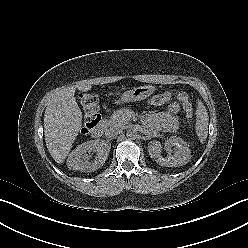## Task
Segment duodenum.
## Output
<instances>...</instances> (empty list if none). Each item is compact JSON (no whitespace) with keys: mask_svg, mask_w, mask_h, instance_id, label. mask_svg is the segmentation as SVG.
<instances>
[{"mask_svg":"<svg viewBox=\"0 0 248 248\" xmlns=\"http://www.w3.org/2000/svg\"><path fill=\"white\" fill-rule=\"evenodd\" d=\"M92 130V136L95 138H99L103 136L105 130H106V121L102 120L101 118L98 119L96 125L91 129Z\"/></svg>","mask_w":248,"mask_h":248,"instance_id":"410a0bca","label":"duodenum"}]
</instances>
